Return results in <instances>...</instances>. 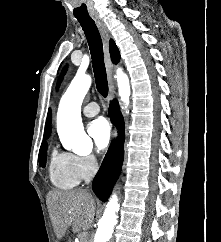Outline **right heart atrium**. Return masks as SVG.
I'll return each mask as SVG.
<instances>
[{
    "instance_id": "obj_1",
    "label": "right heart atrium",
    "mask_w": 221,
    "mask_h": 242,
    "mask_svg": "<svg viewBox=\"0 0 221 242\" xmlns=\"http://www.w3.org/2000/svg\"><path fill=\"white\" fill-rule=\"evenodd\" d=\"M73 164L76 174L79 180H81L90 177L98 170L99 160L93 153L73 155Z\"/></svg>"
}]
</instances>
